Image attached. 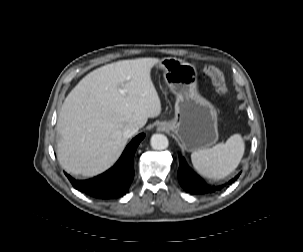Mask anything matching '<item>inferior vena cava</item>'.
I'll use <instances>...</instances> for the list:
<instances>
[{"label":"inferior vena cava","mask_w":303,"mask_h":252,"mask_svg":"<svg viewBox=\"0 0 303 252\" xmlns=\"http://www.w3.org/2000/svg\"><path fill=\"white\" fill-rule=\"evenodd\" d=\"M139 128V125L136 123L127 124L123 128L122 134L125 138H129L133 136L139 130Z\"/></svg>","instance_id":"1"}]
</instances>
